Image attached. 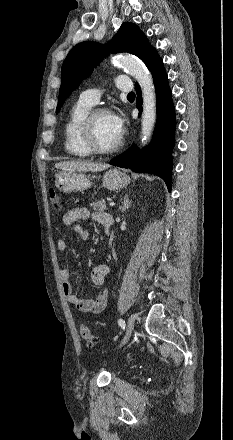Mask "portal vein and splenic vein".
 <instances>
[{"label":"portal vein and splenic vein","mask_w":233,"mask_h":440,"mask_svg":"<svg viewBox=\"0 0 233 440\" xmlns=\"http://www.w3.org/2000/svg\"><path fill=\"white\" fill-rule=\"evenodd\" d=\"M114 205H115L114 202H110V203H109V206H111V207L114 206Z\"/></svg>","instance_id":"1"}]
</instances>
